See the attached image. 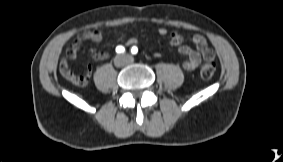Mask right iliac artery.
Segmentation results:
<instances>
[{"instance_id":"82829eb1","label":"right iliac artery","mask_w":283,"mask_h":162,"mask_svg":"<svg viewBox=\"0 0 283 162\" xmlns=\"http://www.w3.org/2000/svg\"><path fill=\"white\" fill-rule=\"evenodd\" d=\"M125 51V48L121 45L117 46L116 47V52L117 53H123Z\"/></svg>"}]
</instances>
